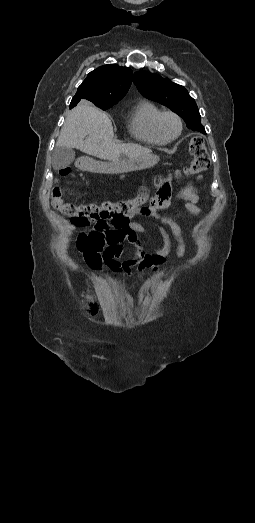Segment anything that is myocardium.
<instances>
[{"instance_id":"myocardium-1","label":"myocardium","mask_w":255,"mask_h":523,"mask_svg":"<svg viewBox=\"0 0 255 523\" xmlns=\"http://www.w3.org/2000/svg\"><path fill=\"white\" fill-rule=\"evenodd\" d=\"M167 116H170L172 118L175 119V121L177 122V125H178V131L176 133L175 136L173 137H170V138H167L165 137L163 131H162V128H161V123H162V120L167 117ZM155 129L158 133V135L166 142H169V141H173L175 139H177L181 133H182V130H183V122H182V118L180 117V115L173 111V110H163L159 113V115L157 116L156 120H155Z\"/></svg>"}]
</instances>
